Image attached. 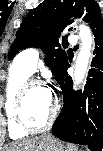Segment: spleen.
Returning a JSON list of instances; mask_svg holds the SVG:
<instances>
[{
  "label": "spleen",
  "mask_w": 103,
  "mask_h": 151,
  "mask_svg": "<svg viewBox=\"0 0 103 151\" xmlns=\"http://www.w3.org/2000/svg\"><path fill=\"white\" fill-rule=\"evenodd\" d=\"M68 151H78V148L72 144H68Z\"/></svg>",
  "instance_id": "obj_1"
}]
</instances>
